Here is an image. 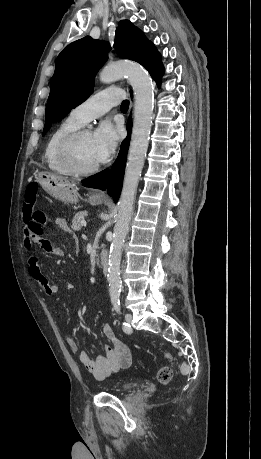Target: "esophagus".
Listing matches in <instances>:
<instances>
[{
    "instance_id": "34e87169",
    "label": "esophagus",
    "mask_w": 261,
    "mask_h": 459,
    "mask_svg": "<svg viewBox=\"0 0 261 459\" xmlns=\"http://www.w3.org/2000/svg\"><path fill=\"white\" fill-rule=\"evenodd\" d=\"M132 110V104L130 106V111ZM129 111V112H130ZM94 195L98 196V197H106L107 196V193L106 191L104 190H101V189H96L94 192H93Z\"/></svg>"
}]
</instances>
